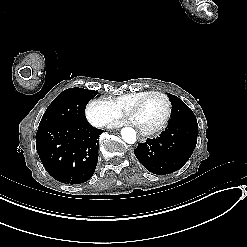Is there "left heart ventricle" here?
<instances>
[{
    "instance_id": "1",
    "label": "left heart ventricle",
    "mask_w": 247,
    "mask_h": 247,
    "mask_svg": "<svg viewBox=\"0 0 247 247\" xmlns=\"http://www.w3.org/2000/svg\"><path fill=\"white\" fill-rule=\"evenodd\" d=\"M166 112V101L159 95L147 97L142 102L140 117L136 123L142 127H155L161 123Z\"/></svg>"
}]
</instances>
